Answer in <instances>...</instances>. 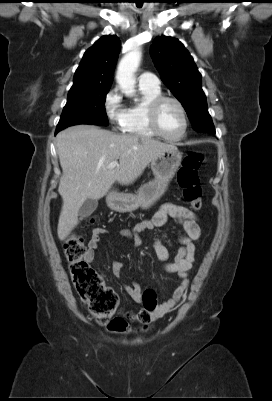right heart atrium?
Here are the masks:
<instances>
[{
	"mask_svg": "<svg viewBox=\"0 0 272 401\" xmlns=\"http://www.w3.org/2000/svg\"><path fill=\"white\" fill-rule=\"evenodd\" d=\"M103 107L109 122L114 127L121 129L126 118L127 108L117 87L110 89L106 93Z\"/></svg>",
	"mask_w": 272,
	"mask_h": 401,
	"instance_id": "1",
	"label": "right heart atrium"
}]
</instances>
